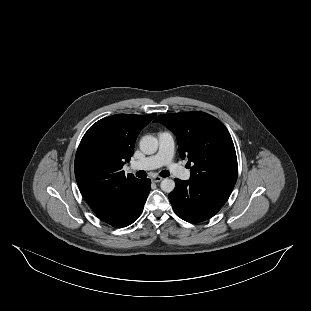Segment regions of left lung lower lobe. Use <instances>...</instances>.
I'll return each mask as SVG.
<instances>
[{
  "label": "left lung lower lobe",
  "instance_id": "0a47b994",
  "mask_svg": "<svg viewBox=\"0 0 311 311\" xmlns=\"http://www.w3.org/2000/svg\"><path fill=\"white\" fill-rule=\"evenodd\" d=\"M231 192L227 187L175 179V189L169 194V200L180 218L198 223L214 216Z\"/></svg>",
  "mask_w": 311,
  "mask_h": 311
}]
</instances>
